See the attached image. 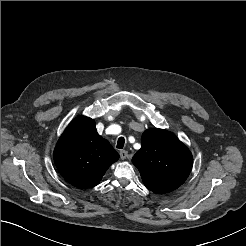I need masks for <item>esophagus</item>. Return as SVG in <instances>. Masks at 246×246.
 I'll return each instance as SVG.
<instances>
[{
    "label": "esophagus",
    "instance_id": "34e87169",
    "mask_svg": "<svg viewBox=\"0 0 246 246\" xmlns=\"http://www.w3.org/2000/svg\"><path fill=\"white\" fill-rule=\"evenodd\" d=\"M119 154H120V158L122 160H124L128 157V152L126 150H120Z\"/></svg>",
    "mask_w": 246,
    "mask_h": 246
}]
</instances>
